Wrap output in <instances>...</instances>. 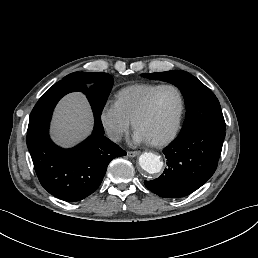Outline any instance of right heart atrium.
<instances>
[{
    "label": "right heart atrium",
    "instance_id": "obj_1",
    "mask_svg": "<svg viewBox=\"0 0 258 258\" xmlns=\"http://www.w3.org/2000/svg\"><path fill=\"white\" fill-rule=\"evenodd\" d=\"M100 121L106 133L114 138L122 135L130 127V122L114 103L104 106L100 113Z\"/></svg>",
    "mask_w": 258,
    "mask_h": 258
}]
</instances>
